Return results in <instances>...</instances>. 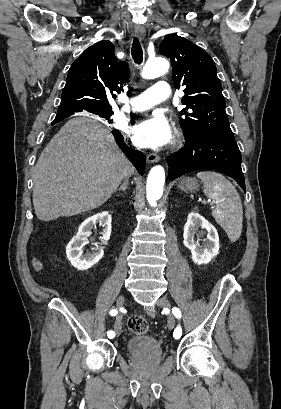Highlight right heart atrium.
Returning a JSON list of instances; mask_svg holds the SVG:
<instances>
[{
    "instance_id": "1",
    "label": "right heart atrium",
    "mask_w": 281,
    "mask_h": 409,
    "mask_svg": "<svg viewBox=\"0 0 281 409\" xmlns=\"http://www.w3.org/2000/svg\"><path fill=\"white\" fill-rule=\"evenodd\" d=\"M123 133L125 134V135H128L129 133H128V125H125L124 127H123Z\"/></svg>"
}]
</instances>
